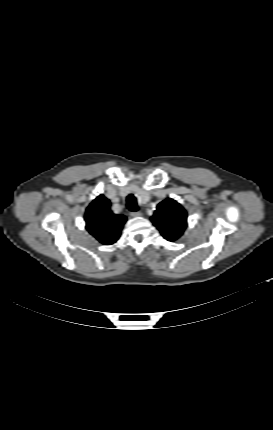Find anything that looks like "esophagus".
I'll list each match as a JSON object with an SVG mask.
<instances>
[{
	"label": "esophagus",
	"instance_id": "obj_1",
	"mask_svg": "<svg viewBox=\"0 0 273 430\" xmlns=\"http://www.w3.org/2000/svg\"><path fill=\"white\" fill-rule=\"evenodd\" d=\"M142 215V213L140 212V211H137V212H130V216L131 217H139V216H141Z\"/></svg>",
	"mask_w": 273,
	"mask_h": 430
}]
</instances>
